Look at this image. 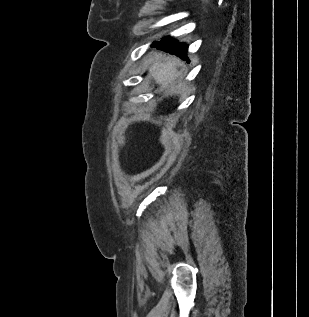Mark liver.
I'll use <instances>...</instances> for the list:
<instances>
[{"instance_id":"1","label":"liver","mask_w":309,"mask_h":317,"mask_svg":"<svg viewBox=\"0 0 309 317\" xmlns=\"http://www.w3.org/2000/svg\"><path fill=\"white\" fill-rule=\"evenodd\" d=\"M179 61L172 57H166L164 61L161 60V55L156 54L152 65L149 68V75L154 78L157 84L162 86L166 92L174 90V81L178 77L179 72L177 66Z\"/></svg>"}]
</instances>
